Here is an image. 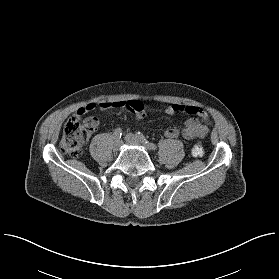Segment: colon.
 Masks as SVG:
<instances>
[{"instance_id": "obj_1", "label": "colon", "mask_w": 279, "mask_h": 279, "mask_svg": "<svg viewBox=\"0 0 279 279\" xmlns=\"http://www.w3.org/2000/svg\"><path fill=\"white\" fill-rule=\"evenodd\" d=\"M124 106L133 112L142 110V103L137 100L128 101ZM98 124L99 121L95 117H88L85 120H80L75 116L68 118L63 126V135L60 142L61 151L73 158H79L83 153L86 141ZM203 151V146L200 143L194 144L191 149L193 156H201Z\"/></svg>"}]
</instances>
